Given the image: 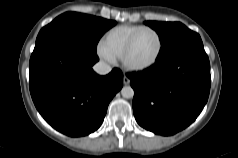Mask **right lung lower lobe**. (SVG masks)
<instances>
[{
    "label": "right lung lower lobe",
    "mask_w": 238,
    "mask_h": 158,
    "mask_svg": "<svg viewBox=\"0 0 238 158\" xmlns=\"http://www.w3.org/2000/svg\"><path fill=\"white\" fill-rule=\"evenodd\" d=\"M98 60L96 52L63 36L35 44L29 62L31 97L42 117L65 135L79 137L97 130L123 86L119 69L106 76L93 71Z\"/></svg>",
    "instance_id": "98d812e1"
}]
</instances>
